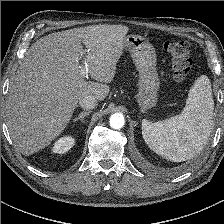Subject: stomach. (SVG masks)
Instances as JSON below:
<instances>
[{
  "label": "stomach",
  "mask_w": 224,
  "mask_h": 224,
  "mask_svg": "<svg viewBox=\"0 0 224 224\" xmlns=\"http://www.w3.org/2000/svg\"><path fill=\"white\" fill-rule=\"evenodd\" d=\"M124 49L129 51L139 72L136 101L141 112L157 104L160 80L156 70V54L152 44L140 35H127L123 40Z\"/></svg>",
  "instance_id": "obj_1"
}]
</instances>
